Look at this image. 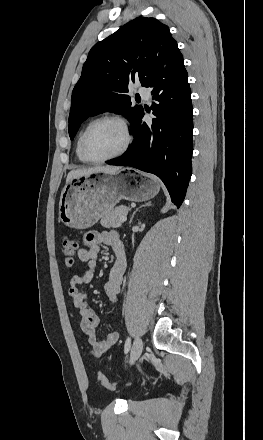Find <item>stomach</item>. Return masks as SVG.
<instances>
[{"mask_svg":"<svg viewBox=\"0 0 263 440\" xmlns=\"http://www.w3.org/2000/svg\"><path fill=\"white\" fill-rule=\"evenodd\" d=\"M154 176L124 172L117 175L93 173L69 180L59 200V221L74 229H86L113 210L122 199L147 201L158 194Z\"/></svg>","mask_w":263,"mask_h":440,"instance_id":"stomach-1","label":"stomach"}]
</instances>
